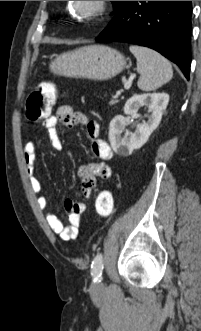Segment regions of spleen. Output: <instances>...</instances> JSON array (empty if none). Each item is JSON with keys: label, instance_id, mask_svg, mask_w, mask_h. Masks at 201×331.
Masks as SVG:
<instances>
[{"label": "spleen", "instance_id": "obj_1", "mask_svg": "<svg viewBox=\"0 0 201 331\" xmlns=\"http://www.w3.org/2000/svg\"><path fill=\"white\" fill-rule=\"evenodd\" d=\"M129 50L137 60V72L140 73L137 82L139 89L153 91L171 80L172 65L164 56L139 45H131Z\"/></svg>", "mask_w": 201, "mask_h": 331}]
</instances>
